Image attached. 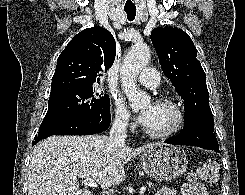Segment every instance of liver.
<instances>
[{
    "label": "liver",
    "mask_w": 245,
    "mask_h": 195,
    "mask_svg": "<svg viewBox=\"0 0 245 195\" xmlns=\"http://www.w3.org/2000/svg\"><path fill=\"white\" fill-rule=\"evenodd\" d=\"M156 145L133 149L103 135L49 137L33 149L28 195H93L79 189L78 178H90L105 191L125 180L128 160Z\"/></svg>",
    "instance_id": "obj_1"
}]
</instances>
